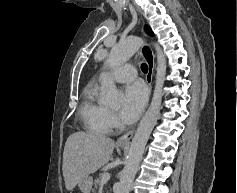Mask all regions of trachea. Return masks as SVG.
<instances>
[{"label":"trachea","instance_id":"trachea-1","mask_svg":"<svg viewBox=\"0 0 237 193\" xmlns=\"http://www.w3.org/2000/svg\"><path fill=\"white\" fill-rule=\"evenodd\" d=\"M141 69H142V71H143L144 73H147V72H148V66H147L145 63H143V64L141 65Z\"/></svg>","mask_w":237,"mask_h":193}]
</instances>
